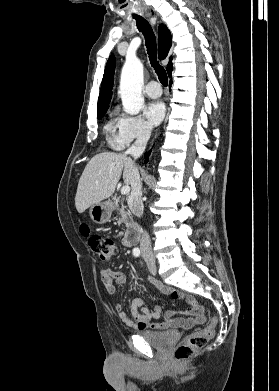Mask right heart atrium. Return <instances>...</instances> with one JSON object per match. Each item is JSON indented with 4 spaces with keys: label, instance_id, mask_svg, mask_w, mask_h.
Wrapping results in <instances>:
<instances>
[{
    "label": "right heart atrium",
    "instance_id": "right-heart-atrium-1",
    "mask_svg": "<svg viewBox=\"0 0 279 391\" xmlns=\"http://www.w3.org/2000/svg\"><path fill=\"white\" fill-rule=\"evenodd\" d=\"M116 132L113 137V146L122 150L133 142L148 139L151 133L150 125L140 116L120 114L115 123Z\"/></svg>",
    "mask_w": 279,
    "mask_h": 391
}]
</instances>
